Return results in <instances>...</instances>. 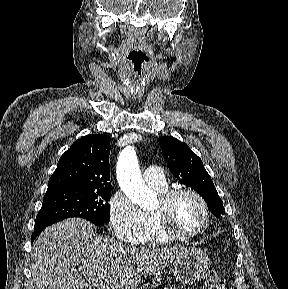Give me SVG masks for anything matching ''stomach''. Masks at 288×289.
Wrapping results in <instances>:
<instances>
[{
  "label": "stomach",
  "mask_w": 288,
  "mask_h": 289,
  "mask_svg": "<svg viewBox=\"0 0 288 289\" xmlns=\"http://www.w3.org/2000/svg\"><path fill=\"white\" fill-rule=\"evenodd\" d=\"M210 263L208 254L202 249H185L180 256L173 260V276L180 284H195L205 275Z\"/></svg>",
  "instance_id": "1"
}]
</instances>
